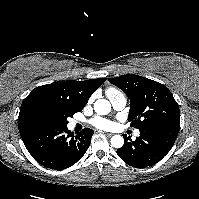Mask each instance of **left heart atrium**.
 Listing matches in <instances>:
<instances>
[{
    "label": "left heart atrium",
    "instance_id": "obj_1",
    "mask_svg": "<svg viewBox=\"0 0 199 199\" xmlns=\"http://www.w3.org/2000/svg\"><path fill=\"white\" fill-rule=\"evenodd\" d=\"M91 123L102 129L108 128L110 126V122L102 118H95L91 121Z\"/></svg>",
    "mask_w": 199,
    "mask_h": 199
}]
</instances>
